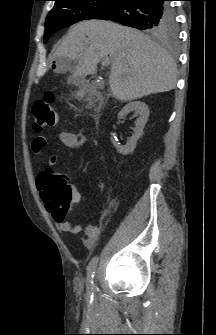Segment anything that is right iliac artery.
Returning a JSON list of instances; mask_svg holds the SVG:
<instances>
[{
	"mask_svg": "<svg viewBox=\"0 0 216 335\" xmlns=\"http://www.w3.org/2000/svg\"><path fill=\"white\" fill-rule=\"evenodd\" d=\"M97 262H98V257L95 256L92 258V260L90 261L87 267V290H88V299L90 302L93 300V296H94L93 278H94V273H95Z\"/></svg>",
	"mask_w": 216,
	"mask_h": 335,
	"instance_id": "82829eb1",
	"label": "right iliac artery"
}]
</instances>
